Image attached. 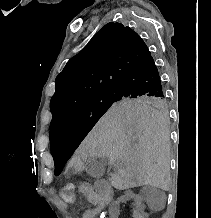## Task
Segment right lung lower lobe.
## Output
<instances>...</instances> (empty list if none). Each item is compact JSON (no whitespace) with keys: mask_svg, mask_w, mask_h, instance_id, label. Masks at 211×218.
<instances>
[{"mask_svg":"<svg viewBox=\"0 0 211 218\" xmlns=\"http://www.w3.org/2000/svg\"><path fill=\"white\" fill-rule=\"evenodd\" d=\"M116 94L122 97H161L164 90L159 72L151 55L137 65L117 86Z\"/></svg>","mask_w":211,"mask_h":218,"instance_id":"98d812e1","label":"right lung lower lobe"}]
</instances>
